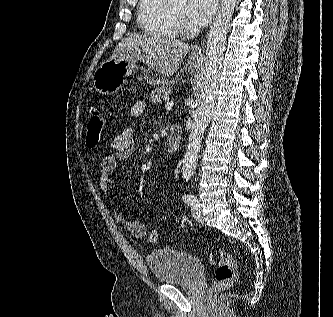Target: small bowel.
<instances>
[{"label":"small bowel","mask_w":333,"mask_h":317,"mask_svg":"<svg viewBox=\"0 0 333 317\" xmlns=\"http://www.w3.org/2000/svg\"><path fill=\"white\" fill-rule=\"evenodd\" d=\"M146 104L138 100L132 104L129 110V116L132 122L110 141V147L114 154L106 155L98 167V185L109 204L114 221L124 227L132 236L143 238L147 235L146 224L138 221L129 220L117 207L109 191L110 176L116 170L118 163L129 159L135 149L134 123L145 111Z\"/></svg>","instance_id":"1"}]
</instances>
